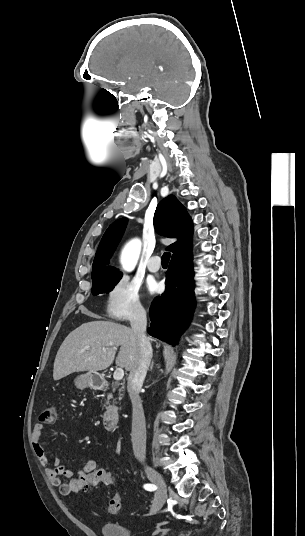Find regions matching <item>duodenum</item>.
<instances>
[{
	"label": "duodenum",
	"mask_w": 305,
	"mask_h": 536,
	"mask_svg": "<svg viewBox=\"0 0 305 536\" xmlns=\"http://www.w3.org/2000/svg\"><path fill=\"white\" fill-rule=\"evenodd\" d=\"M92 386L96 389H105L107 388V382L99 377L94 376L92 378ZM102 424L105 430L113 431L116 430L119 424V416L117 412L112 407H107L102 416Z\"/></svg>",
	"instance_id": "410a0bca"
}]
</instances>
